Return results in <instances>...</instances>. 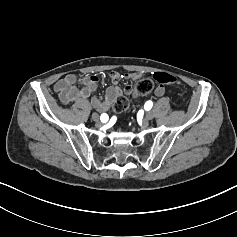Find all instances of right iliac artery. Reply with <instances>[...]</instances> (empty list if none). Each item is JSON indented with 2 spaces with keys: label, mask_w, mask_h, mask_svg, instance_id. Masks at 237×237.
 Returning a JSON list of instances; mask_svg holds the SVG:
<instances>
[{
  "label": "right iliac artery",
  "mask_w": 237,
  "mask_h": 237,
  "mask_svg": "<svg viewBox=\"0 0 237 237\" xmlns=\"http://www.w3.org/2000/svg\"><path fill=\"white\" fill-rule=\"evenodd\" d=\"M107 119H108V115H107L106 113L101 114L100 120H101L102 122L106 121Z\"/></svg>",
  "instance_id": "1"
}]
</instances>
